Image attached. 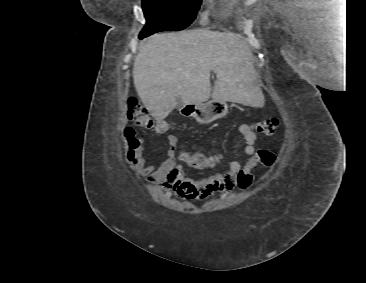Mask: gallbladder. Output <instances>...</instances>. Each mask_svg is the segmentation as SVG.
Masks as SVG:
<instances>
[{"label":"gallbladder","mask_w":366,"mask_h":283,"mask_svg":"<svg viewBox=\"0 0 366 283\" xmlns=\"http://www.w3.org/2000/svg\"><path fill=\"white\" fill-rule=\"evenodd\" d=\"M181 106H182V101L180 98H177V108L179 109V108H181Z\"/></svg>","instance_id":"obj_1"}]
</instances>
